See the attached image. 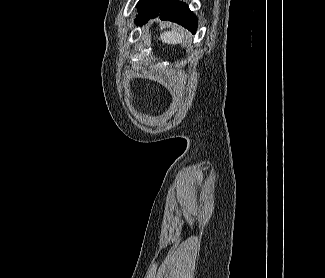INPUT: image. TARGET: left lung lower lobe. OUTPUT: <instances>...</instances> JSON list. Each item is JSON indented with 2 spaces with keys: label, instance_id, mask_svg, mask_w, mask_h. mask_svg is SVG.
<instances>
[{
  "label": "left lung lower lobe",
  "instance_id": "left-lung-lower-lobe-1",
  "mask_svg": "<svg viewBox=\"0 0 325 278\" xmlns=\"http://www.w3.org/2000/svg\"><path fill=\"white\" fill-rule=\"evenodd\" d=\"M137 9L134 22L138 25L159 16L161 20L176 22L192 33L197 29V18L185 3L178 0H140Z\"/></svg>",
  "mask_w": 325,
  "mask_h": 278
}]
</instances>
